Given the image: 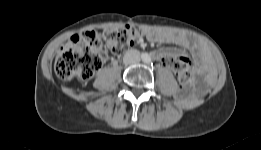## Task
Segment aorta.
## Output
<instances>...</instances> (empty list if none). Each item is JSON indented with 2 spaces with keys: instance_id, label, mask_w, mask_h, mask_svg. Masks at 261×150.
Instances as JSON below:
<instances>
[{
  "instance_id": "obj_1",
  "label": "aorta",
  "mask_w": 261,
  "mask_h": 150,
  "mask_svg": "<svg viewBox=\"0 0 261 150\" xmlns=\"http://www.w3.org/2000/svg\"><path fill=\"white\" fill-rule=\"evenodd\" d=\"M143 61H144L145 63H149V62L151 61L150 56H149V55L144 56V57H143Z\"/></svg>"
}]
</instances>
